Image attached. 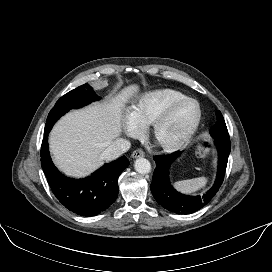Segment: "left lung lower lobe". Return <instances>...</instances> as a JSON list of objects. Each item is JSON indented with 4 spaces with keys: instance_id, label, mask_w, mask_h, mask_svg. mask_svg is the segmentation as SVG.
I'll use <instances>...</instances> for the list:
<instances>
[{
    "instance_id": "0a47b994",
    "label": "left lung lower lobe",
    "mask_w": 272,
    "mask_h": 272,
    "mask_svg": "<svg viewBox=\"0 0 272 272\" xmlns=\"http://www.w3.org/2000/svg\"><path fill=\"white\" fill-rule=\"evenodd\" d=\"M215 145L219 157L216 181L206 193L196 196L181 194L171 185L169 168L180 153L154 157L156 169L150 189L154 198L162 207L177 214H190L200 210L211 201L223 183L231 147L230 144L219 141H215Z\"/></svg>"
}]
</instances>
